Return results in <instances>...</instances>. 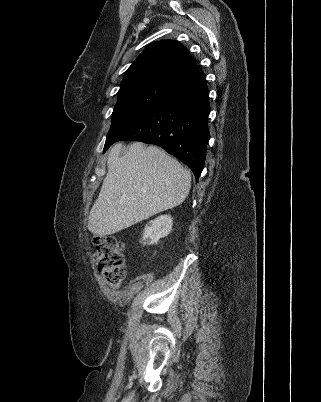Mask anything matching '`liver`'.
<instances>
[{
    "mask_svg": "<svg viewBox=\"0 0 321 402\" xmlns=\"http://www.w3.org/2000/svg\"><path fill=\"white\" fill-rule=\"evenodd\" d=\"M122 144L111 149L100 193L93 204L88 229L95 235L115 234L159 212L180 205L188 196L191 175L157 146Z\"/></svg>",
    "mask_w": 321,
    "mask_h": 402,
    "instance_id": "6515ba94",
    "label": "liver"
}]
</instances>
